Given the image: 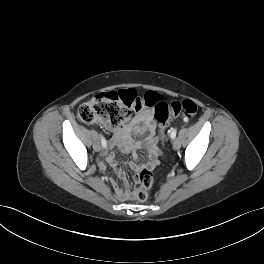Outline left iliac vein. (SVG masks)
Returning <instances> with one entry per match:
<instances>
[{
	"instance_id": "1",
	"label": "left iliac vein",
	"mask_w": 264,
	"mask_h": 264,
	"mask_svg": "<svg viewBox=\"0 0 264 264\" xmlns=\"http://www.w3.org/2000/svg\"><path fill=\"white\" fill-rule=\"evenodd\" d=\"M180 146H181V143H180V140L179 139H174L173 140V148L175 149V150H178L179 148H180Z\"/></svg>"
}]
</instances>
